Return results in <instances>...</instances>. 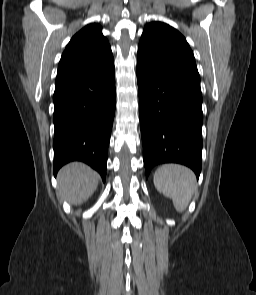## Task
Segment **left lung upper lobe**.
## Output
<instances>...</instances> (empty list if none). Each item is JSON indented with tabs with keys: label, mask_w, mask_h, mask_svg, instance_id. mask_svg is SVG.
Listing matches in <instances>:
<instances>
[{
	"label": "left lung upper lobe",
	"mask_w": 256,
	"mask_h": 295,
	"mask_svg": "<svg viewBox=\"0 0 256 295\" xmlns=\"http://www.w3.org/2000/svg\"><path fill=\"white\" fill-rule=\"evenodd\" d=\"M137 65L168 83L201 95L200 76L186 39L173 27L149 23L138 46Z\"/></svg>",
	"instance_id": "obj_1"
}]
</instances>
